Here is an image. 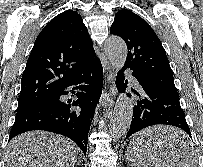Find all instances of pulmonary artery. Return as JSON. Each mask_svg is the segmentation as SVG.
I'll return each mask as SVG.
<instances>
[{
  "instance_id": "e3ab8cb5",
  "label": "pulmonary artery",
  "mask_w": 203,
  "mask_h": 167,
  "mask_svg": "<svg viewBox=\"0 0 203 167\" xmlns=\"http://www.w3.org/2000/svg\"><path fill=\"white\" fill-rule=\"evenodd\" d=\"M127 77H128V79L130 80V82H131L132 84H134L135 86H138V85H139V83H138V81H137V79H136L135 77H133L132 75H130V74H128V73H127Z\"/></svg>"
}]
</instances>
